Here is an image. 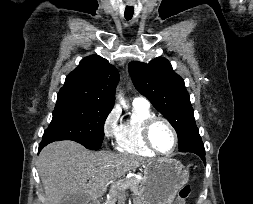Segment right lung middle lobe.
Here are the masks:
<instances>
[{
    "instance_id": "1",
    "label": "right lung middle lobe",
    "mask_w": 253,
    "mask_h": 204,
    "mask_svg": "<svg viewBox=\"0 0 253 204\" xmlns=\"http://www.w3.org/2000/svg\"><path fill=\"white\" fill-rule=\"evenodd\" d=\"M110 111V107L74 93L59 92L53 118L43 140H73L88 149L98 150L104 137V122Z\"/></svg>"
}]
</instances>
